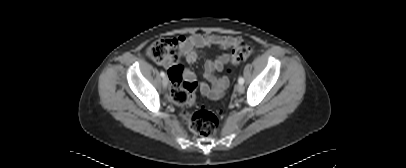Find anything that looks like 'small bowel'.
<instances>
[{
    "label": "small bowel",
    "mask_w": 406,
    "mask_h": 168,
    "mask_svg": "<svg viewBox=\"0 0 406 168\" xmlns=\"http://www.w3.org/2000/svg\"><path fill=\"white\" fill-rule=\"evenodd\" d=\"M241 43V39L235 36H221L218 34H194L191 36H178L171 41V55L161 64L170 69L174 65H182V60L193 63L198 58V52L217 46L222 49H234ZM229 54H222L214 59H209L204 64L205 77L211 83L209 87L206 83H200V93L211 100L220 99L229 85L227 76H217L216 73L223 70L229 62ZM180 78L193 82L195 76L191 70L183 66ZM170 77V76H169ZM171 80V79H170Z\"/></svg>",
    "instance_id": "1"
}]
</instances>
